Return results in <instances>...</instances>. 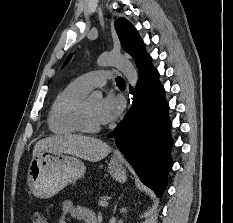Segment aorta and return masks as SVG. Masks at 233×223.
Masks as SVG:
<instances>
[{
    "instance_id": "1",
    "label": "aorta",
    "mask_w": 233,
    "mask_h": 223,
    "mask_svg": "<svg viewBox=\"0 0 233 223\" xmlns=\"http://www.w3.org/2000/svg\"><path fill=\"white\" fill-rule=\"evenodd\" d=\"M97 64L98 66H115V68L121 70L122 74L126 76L128 84H131L135 88L138 82L137 72L133 64L127 58H124V56H100ZM90 98H93V100H102V92L95 90V92H92Z\"/></svg>"
}]
</instances>
